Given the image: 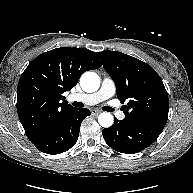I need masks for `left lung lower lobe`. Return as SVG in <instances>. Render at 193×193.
<instances>
[{"mask_svg": "<svg viewBox=\"0 0 193 193\" xmlns=\"http://www.w3.org/2000/svg\"><path fill=\"white\" fill-rule=\"evenodd\" d=\"M167 120L129 123L115 118L114 124L102 131L106 143L114 150L134 154L151 145L161 134Z\"/></svg>", "mask_w": 193, "mask_h": 193, "instance_id": "1", "label": "left lung lower lobe"}]
</instances>
